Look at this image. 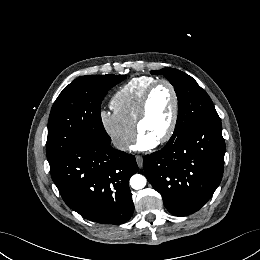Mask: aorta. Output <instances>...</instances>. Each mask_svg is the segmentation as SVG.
Listing matches in <instances>:
<instances>
[{
  "label": "aorta",
  "instance_id": "1",
  "mask_svg": "<svg viewBox=\"0 0 260 260\" xmlns=\"http://www.w3.org/2000/svg\"><path fill=\"white\" fill-rule=\"evenodd\" d=\"M147 179L141 174H135L130 179V185L133 189H142L146 186Z\"/></svg>",
  "mask_w": 260,
  "mask_h": 260
}]
</instances>
